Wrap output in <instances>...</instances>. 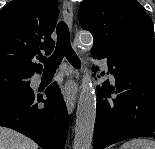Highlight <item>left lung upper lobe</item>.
<instances>
[{"label":"left lung upper lobe","instance_id":"5c2ea615","mask_svg":"<svg viewBox=\"0 0 155 149\" xmlns=\"http://www.w3.org/2000/svg\"><path fill=\"white\" fill-rule=\"evenodd\" d=\"M78 19L92 33V49L155 51L154 24L136 0H84Z\"/></svg>","mask_w":155,"mask_h":149}]
</instances>
